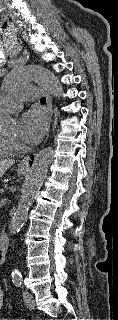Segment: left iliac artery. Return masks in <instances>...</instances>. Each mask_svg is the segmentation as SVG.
I'll return each instance as SVG.
<instances>
[{
    "instance_id": "1",
    "label": "left iliac artery",
    "mask_w": 118,
    "mask_h": 320,
    "mask_svg": "<svg viewBox=\"0 0 118 320\" xmlns=\"http://www.w3.org/2000/svg\"><path fill=\"white\" fill-rule=\"evenodd\" d=\"M14 283H15V285L18 286V287H21V285H22L21 279L14 280Z\"/></svg>"
}]
</instances>
